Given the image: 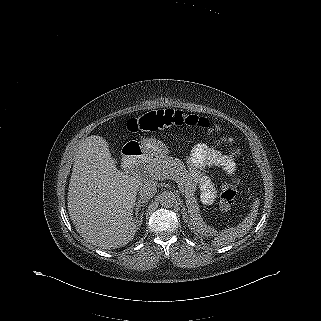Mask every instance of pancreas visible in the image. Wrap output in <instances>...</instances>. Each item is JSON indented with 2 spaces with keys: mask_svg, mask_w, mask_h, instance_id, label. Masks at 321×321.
Returning a JSON list of instances; mask_svg holds the SVG:
<instances>
[{
  "mask_svg": "<svg viewBox=\"0 0 321 321\" xmlns=\"http://www.w3.org/2000/svg\"><path fill=\"white\" fill-rule=\"evenodd\" d=\"M146 170L149 174L152 172L160 173L161 177L163 175L167 176V178L171 176L177 177L191 217L204 224L200 218L199 205L194 195L196 188L192 174L186 170L181 160L169 156L154 158L146 165Z\"/></svg>",
  "mask_w": 321,
  "mask_h": 321,
  "instance_id": "1",
  "label": "pancreas"
}]
</instances>
